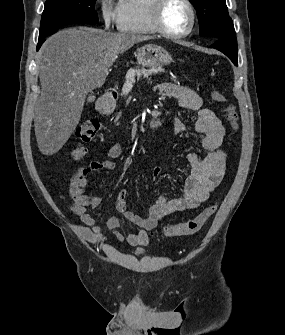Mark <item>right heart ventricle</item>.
<instances>
[{"mask_svg": "<svg viewBox=\"0 0 285 335\" xmlns=\"http://www.w3.org/2000/svg\"><path fill=\"white\" fill-rule=\"evenodd\" d=\"M132 15L122 23L125 30L139 35L157 34L155 25L156 1H129Z\"/></svg>", "mask_w": 285, "mask_h": 335, "instance_id": "obj_1", "label": "right heart ventricle"}]
</instances>
